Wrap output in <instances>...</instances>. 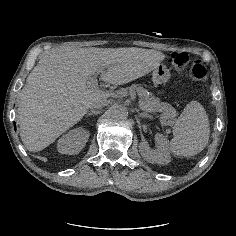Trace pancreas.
Returning <instances> with one entry per match:
<instances>
[{
	"label": "pancreas",
	"mask_w": 236,
	"mask_h": 236,
	"mask_svg": "<svg viewBox=\"0 0 236 236\" xmlns=\"http://www.w3.org/2000/svg\"><path fill=\"white\" fill-rule=\"evenodd\" d=\"M122 91L125 93L127 89H122ZM138 91L141 92L140 97L143 99L141 107H147L154 110L155 106L160 104V99L152 95L150 96L149 91L145 90L144 85H139Z\"/></svg>",
	"instance_id": "cf45deb5"
}]
</instances>
